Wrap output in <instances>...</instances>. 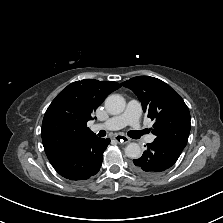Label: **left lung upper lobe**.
I'll use <instances>...</instances> for the list:
<instances>
[{
	"label": "left lung upper lobe",
	"mask_w": 223,
	"mask_h": 223,
	"mask_svg": "<svg viewBox=\"0 0 223 223\" xmlns=\"http://www.w3.org/2000/svg\"><path fill=\"white\" fill-rule=\"evenodd\" d=\"M141 101L143 111L154 120L152 133L155 140L168 141L185 147L190 133V112L168 84L149 76H137L122 83Z\"/></svg>",
	"instance_id": "5c2ea615"
}]
</instances>
